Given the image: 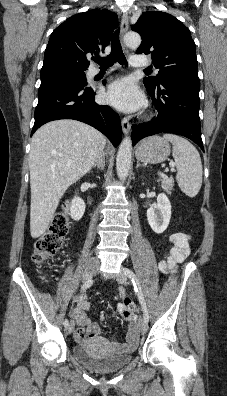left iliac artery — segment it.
I'll return each instance as SVG.
<instances>
[{
  "label": "left iliac artery",
  "mask_w": 227,
  "mask_h": 396,
  "mask_svg": "<svg viewBox=\"0 0 227 396\" xmlns=\"http://www.w3.org/2000/svg\"><path fill=\"white\" fill-rule=\"evenodd\" d=\"M124 272H125L126 276H128L133 283L134 289L137 292L138 299L141 304L142 311L144 313V320L146 321V323H148L149 322V314H148L147 306H146L144 296H143V293H142V290L140 287L139 280L130 269L125 268Z\"/></svg>",
  "instance_id": "obj_1"
}]
</instances>
